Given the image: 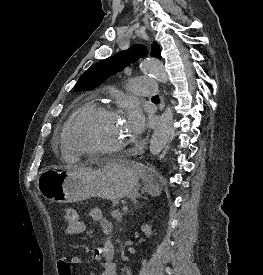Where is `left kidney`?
Here are the masks:
<instances>
[{
  "label": "left kidney",
  "instance_id": "5707ae66",
  "mask_svg": "<svg viewBox=\"0 0 263 275\" xmlns=\"http://www.w3.org/2000/svg\"><path fill=\"white\" fill-rule=\"evenodd\" d=\"M141 230L145 233L147 237H150L152 235L151 226H149L148 224L141 226Z\"/></svg>",
  "mask_w": 263,
  "mask_h": 275
}]
</instances>
